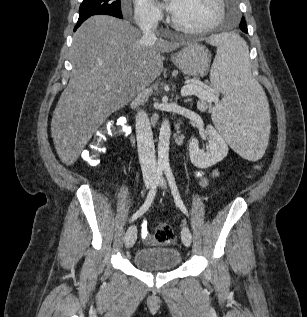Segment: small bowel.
Here are the masks:
<instances>
[{"mask_svg":"<svg viewBox=\"0 0 307 317\" xmlns=\"http://www.w3.org/2000/svg\"><path fill=\"white\" fill-rule=\"evenodd\" d=\"M218 175V170H213L210 175L206 176L202 171L196 172V177L199 178L201 184L206 185L211 178H214ZM141 236L144 239L149 238V232L147 228V224L143 223L141 226Z\"/></svg>","mask_w":307,"mask_h":317,"instance_id":"1","label":"small bowel"}]
</instances>
